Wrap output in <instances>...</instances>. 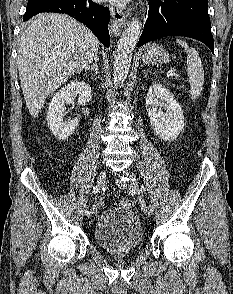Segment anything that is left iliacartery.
<instances>
[{"label": "left iliac artery", "mask_w": 233, "mask_h": 294, "mask_svg": "<svg viewBox=\"0 0 233 294\" xmlns=\"http://www.w3.org/2000/svg\"><path fill=\"white\" fill-rule=\"evenodd\" d=\"M133 191H134V190H133ZM140 191H141V192H145V187L142 186V187L140 188ZM148 210H149L150 212H153L154 207H153L152 205H149V206H148Z\"/></svg>", "instance_id": "left-iliac-artery-1"}]
</instances>
